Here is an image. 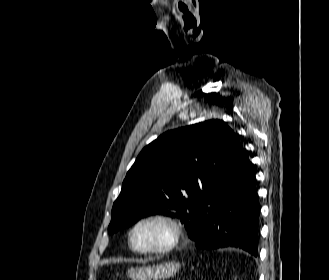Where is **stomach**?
<instances>
[{"mask_svg": "<svg viewBox=\"0 0 329 280\" xmlns=\"http://www.w3.org/2000/svg\"><path fill=\"white\" fill-rule=\"evenodd\" d=\"M181 268L178 262H166L154 266H142L128 269L132 280H165L173 277Z\"/></svg>", "mask_w": 329, "mask_h": 280, "instance_id": "0dacf381", "label": "stomach"}]
</instances>
